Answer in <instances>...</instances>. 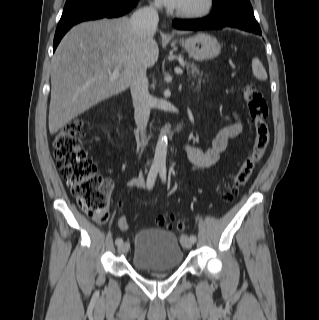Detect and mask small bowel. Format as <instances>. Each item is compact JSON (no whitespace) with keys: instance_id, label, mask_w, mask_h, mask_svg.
Listing matches in <instances>:
<instances>
[{"instance_id":"1","label":"small bowel","mask_w":319,"mask_h":320,"mask_svg":"<svg viewBox=\"0 0 319 320\" xmlns=\"http://www.w3.org/2000/svg\"><path fill=\"white\" fill-rule=\"evenodd\" d=\"M236 121L224 128H222L214 137L211 148L208 150H201L198 147L186 145L185 151L191 166L195 169H205L213 166L219 159L220 154L228 145L230 139L238 136L242 130L243 125L237 118ZM128 188H143L145 187L144 178L133 177L126 183Z\"/></svg>"}]
</instances>
